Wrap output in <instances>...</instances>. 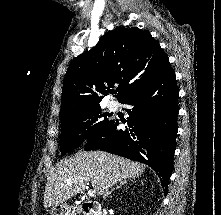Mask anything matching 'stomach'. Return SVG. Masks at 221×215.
I'll list each match as a JSON object with an SVG mask.
<instances>
[{
  "mask_svg": "<svg viewBox=\"0 0 221 215\" xmlns=\"http://www.w3.org/2000/svg\"><path fill=\"white\" fill-rule=\"evenodd\" d=\"M51 215H74V213L71 206L66 203H60L51 208Z\"/></svg>",
  "mask_w": 221,
  "mask_h": 215,
  "instance_id": "0dacf381",
  "label": "stomach"
}]
</instances>
